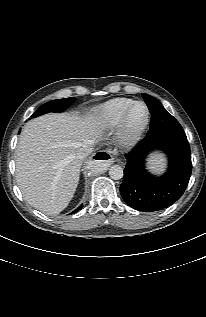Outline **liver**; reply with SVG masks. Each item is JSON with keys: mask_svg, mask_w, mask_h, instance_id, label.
Segmentation results:
<instances>
[{"mask_svg": "<svg viewBox=\"0 0 206 317\" xmlns=\"http://www.w3.org/2000/svg\"><path fill=\"white\" fill-rule=\"evenodd\" d=\"M103 134L94 115L49 113L30 120L16 150V180L25 200L34 208L58 215L76 191L83 145H94Z\"/></svg>", "mask_w": 206, "mask_h": 317, "instance_id": "liver-1", "label": "liver"}]
</instances>
